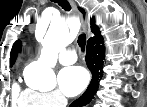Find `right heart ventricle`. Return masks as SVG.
Wrapping results in <instances>:
<instances>
[{"instance_id":"obj_1","label":"right heart ventricle","mask_w":147,"mask_h":107,"mask_svg":"<svg viewBox=\"0 0 147 107\" xmlns=\"http://www.w3.org/2000/svg\"><path fill=\"white\" fill-rule=\"evenodd\" d=\"M12 100L16 107L38 105L37 93L29 89H21L18 84L12 87Z\"/></svg>"}]
</instances>
